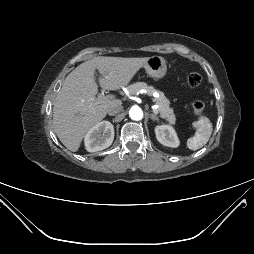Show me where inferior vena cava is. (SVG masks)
<instances>
[{
  "label": "inferior vena cava",
  "instance_id": "obj_1",
  "mask_svg": "<svg viewBox=\"0 0 254 254\" xmlns=\"http://www.w3.org/2000/svg\"><path fill=\"white\" fill-rule=\"evenodd\" d=\"M121 111H123V106L121 104H115L112 105L109 109H108V114L110 116H114L118 113H120Z\"/></svg>",
  "mask_w": 254,
  "mask_h": 254
}]
</instances>
